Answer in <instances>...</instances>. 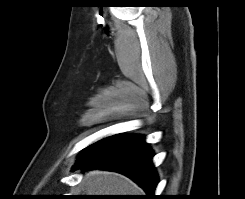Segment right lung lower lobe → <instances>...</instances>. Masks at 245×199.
<instances>
[{
    "instance_id": "right-lung-lower-lobe-1",
    "label": "right lung lower lobe",
    "mask_w": 245,
    "mask_h": 199,
    "mask_svg": "<svg viewBox=\"0 0 245 199\" xmlns=\"http://www.w3.org/2000/svg\"><path fill=\"white\" fill-rule=\"evenodd\" d=\"M153 152L140 135H113L87 147L79 156L75 169H105L122 173L145 190V199H156L157 174Z\"/></svg>"
}]
</instances>
